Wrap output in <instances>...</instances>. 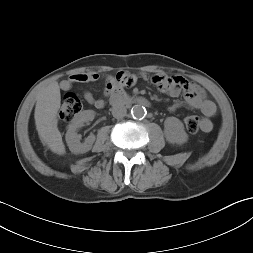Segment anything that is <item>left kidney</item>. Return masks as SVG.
<instances>
[{"label": "left kidney", "instance_id": "obj_1", "mask_svg": "<svg viewBox=\"0 0 253 253\" xmlns=\"http://www.w3.org/2000/svg\"><path fill=\"white\" fill-rule=\"evenodd\" d=\"M164 134L169 143L183 144L188 140L183 123L176 117H167L164 121Z\"/></svg>", "mask_w": 253, "mask_h": 253}]
</instances>
